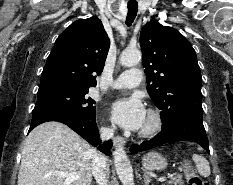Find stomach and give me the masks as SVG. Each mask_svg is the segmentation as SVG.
<instances>
[{"mask_svg":"<svg viewBox=\"0 0 233 185\" xmlns=\"http://www.w3.org/2000/svg\"><path fill=\"white\" fill-rule=\"evenodd\" d=\"M143 168L145 170H163L167 167V160L158 152H148L143 157Z\"/></svg>","mask_w":233,"mask_h":185,"instance_id":"0dacf381","label":"stomach"}]
</instances>
